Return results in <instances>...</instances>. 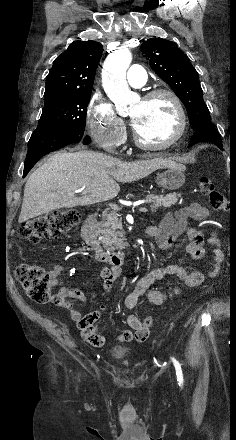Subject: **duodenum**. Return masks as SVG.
Listing matches in <instances>:
<instances>
[{
	"label": "duodenum",
	"instance_id": "1",
	"mask_svg": "<svg viewBox=\"0 0 236 440\" xmlns=\"http://www.w3.org/2000/svg\"><path fill=\"white\" fill-rule=\"evenodd\" d=\"M146 232L149 233L150 228H147ZM82 236L86 244L91 248L94 258L98 263L110 265L113 268H119L124 263L129 246L117 252L107 253L102 248L97 237L95 214H90L83 223Z\"/></svg>",
	"mask_w": 236,
	"mask_h": 440
}]
</instances>
